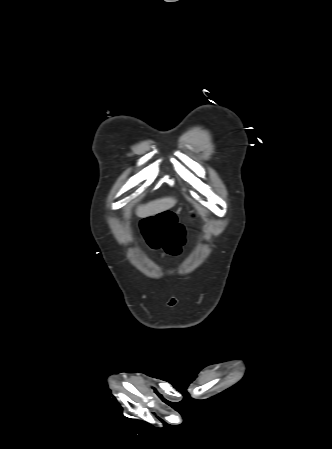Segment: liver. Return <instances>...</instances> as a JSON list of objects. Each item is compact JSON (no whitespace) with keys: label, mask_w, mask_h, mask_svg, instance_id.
Segmentation results:
<instances>
[{"label":"liver","mask_w":332,"mask_h":449,"mask_svg":"<svg viewBox=\"0 0 332 449\" xmlns=\"http://www.w3.org/2000/svg\"><path fill=\"white\" fill-rule=\"evenodd\" d=\"M176 202V199L172 197L157 199L147 204L138 206L136 214L140 218L153 216L172 208L176 204Z\"/></svg>","instance_id":"obj_1"}]
</instances>
